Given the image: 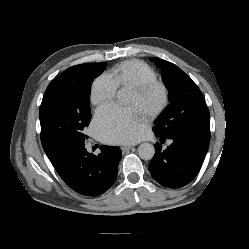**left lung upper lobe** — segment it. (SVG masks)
<instances>
[{
    "instance_id": "left-lung-upper-lobe-1",
    "label": "left lung upper lobe",
    "mask_w": 249,
    "mask_h": 249,
    "mask_svg": "<svg viewBox=\"0 0 249 249\" xmlns=\"http://www.w3.org/2000/svg\"><path fill=\"white\" fill-rule=\"evenodd\" d=\"M152 60L162 71L170 101L154 123L155 134L166 138L210 137V113L197 85L176 65L160 58Z\"/></svg>"
}]
</instances>
